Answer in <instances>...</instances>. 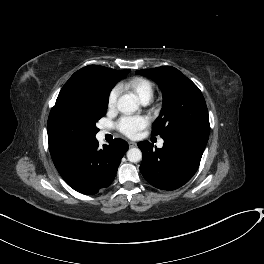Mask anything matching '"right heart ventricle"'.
Instances as JSON below:
<instances>
[{
  "label": "right heart ventricle",
  "instance_id": "1",
  "mask_svg": "<svg viewBox=\"0 0 264 264\" xmlns=\"http://www.w3.org/2000/svg\"><path fill=\"white\" fill-rule=\"evenodd\" d=\"M123 87L131 90L141 100L151 99L154 87L150 80L143 77H135L123 84Z\"/></svg>",
  "mask_w": 264,
  "mask_h": 264
}]
</instances>
